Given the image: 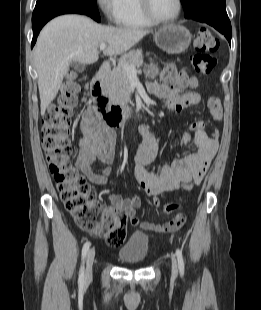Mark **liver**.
I'll list each match as a JSON object with an SVG mask.
<instances>
[{
	"instance_id": "1",
	"label": "liver",
	"mask_w": 261,
	"mask_h": 310,
	"mask_svg": "<svg viewBox=\"0 0 261 310\" xmlns=\"http://www.w3.org/2000/svg\"><path fill=\"white\" fill-rule=\"evenodd\" d=\"M148 33L103 26L81 15H63L50 21L40 32L34 49L41 115L56 97L72 61L95 63L102 43L107 45L104 55L124 54Z\"/></svg>"
}]
</instances>
